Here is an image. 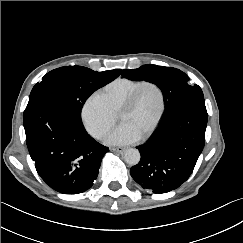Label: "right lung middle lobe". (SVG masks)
Here are the masks:
<instances>
[{
	"mask_svg": "<svg viewBox=\"0 0 243 243\" xmlns=\"http://www.w3.org/2000/svg\"><path fill=\"white\" fill-rule=\"evenodd\" d=\"M116 70L97 72L81 66H67L48 72L37 83L29 99L44 98L68 107L79 119L87 98L118 77Z\"/></svg>",
	"mask_w": 243,
	"mask_h": 243,
	"instance_id": "dd1d6c3e",
	"label": "right lung middle lobe"
}]
</instances>
